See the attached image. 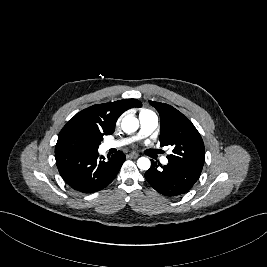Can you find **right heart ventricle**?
<instances>
[{
    "instance_id": "obj_1",
    "label": "right heart ventricle",
    "mask_w": 267,
    "mask_h": 267,
    "mask_svg": "<svg viewBox=\"0 0 267 267\" xmlns=\"http://www.w3.org/2000/svg\"><path fill=\"white\" fill-rule=\"evenodd\" d=\"M149 112H151V111H150V110H146V109H144V110L141 111L140 114L149 113Z\"/></svg>"
}]
</instances>
